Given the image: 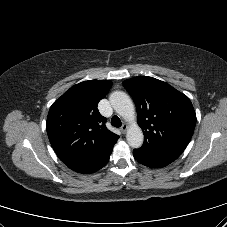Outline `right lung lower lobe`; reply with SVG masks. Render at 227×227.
Segmentation results:
<instances>
[{"mask_svg":"<svg viewBox=\"0 0 227 227\" xmlns=\"http://www.w3.org/2000/svg\"><path fill=\"white\" fill-rule=\"evenodd\" d=\"M115 143L106 147L96 156H93L80 163L68 164L67 166L78 173L82 174L94 173L107 164Z\"/></svg>","mask_w":227,"mask_h":227,"instance_id":"98d812e1","label":"right lung lower lobe"}]
</instances>
